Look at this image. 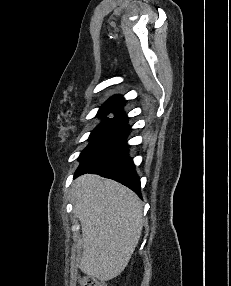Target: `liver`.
I'll use <instances>...</instances> for the list:
<instances>
[{
    "label": "liver",
    "mask_w": 231,
    "mask_h": 286,
    "mask_svg": "<svg viewBox=\"0 0 231 286\" xmlns=\"http://www.w3.org/2000/svg\"><path fill=\"white\" fill-rule=\"evenodd\" d=\"M73 204L82 230L81 271L101 282L117 277L142 233L141 200L120 183L86 174L74 183Z\"/></svg>",
    "instance_id": "liver-1"
}]
</instances>
